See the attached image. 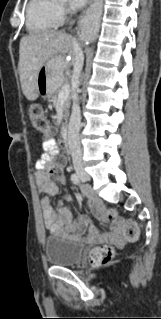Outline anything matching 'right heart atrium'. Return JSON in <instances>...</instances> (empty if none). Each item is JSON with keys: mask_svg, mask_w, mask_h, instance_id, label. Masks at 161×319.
Segmentation results:
<instances>
[{"mask_svg": "<svg viewBox=\"0 0 161 319\" xmlns=\"http://www.w3.org/2000/svg\"><path fill=\"white\" fill-rule=\"evenodd\" d=\"M58 13L60 17V23L64 20L68 13V9L64 5H58Z\"/></svg>", "mask_w": 161, "mask_h": 319, "instance_id": "right-heart-atrium-1", "label": "right heart atrium"}]
</instances>
